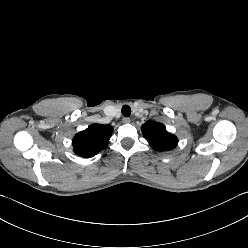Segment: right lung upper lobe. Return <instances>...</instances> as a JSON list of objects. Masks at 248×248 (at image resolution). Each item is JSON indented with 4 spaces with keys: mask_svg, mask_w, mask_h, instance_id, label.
<instances>
[{
    "mask_svg": "<svg viewBox=\"0 0 248 248\" xmlns=\"http://www.w3.org/2000/svg\"><path fill=\"white\" fill-rule=\"evenodd\" d=\"M112 132L110 125H90L73 138L74 152L84 158L93 157L107 146Z\"/></svg>",
    "mask_w": 248,
    "mask_h": 248,
    "instance_id": "right-lung-upper-lobe-1",
    "label": "right lung upper lobe"
}]
</instances>
